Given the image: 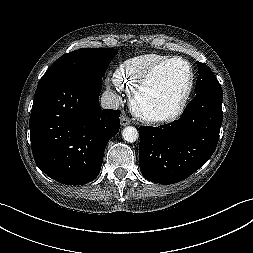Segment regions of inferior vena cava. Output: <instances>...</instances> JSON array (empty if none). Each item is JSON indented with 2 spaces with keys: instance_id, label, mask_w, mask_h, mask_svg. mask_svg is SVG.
Masks as SVG:
<instances>
[{
  "instance_id": "602c4592",
  "label": "inferior vena cava",
  "mask_w": 253,
  "mask_h": 253,
  "mask_svg": "<svg viewBox=\"0 0 253 253\" xmlns=\"http://www.w3.org/2000/svg\"><path fill=\"white\" fill-rule=\"evenodd\" d=\"M101 107L103 109H118L119 108V98L118 96L111 92V91H105L102 94L101 100H100Z\"/></svg>"
}]
</instances>
